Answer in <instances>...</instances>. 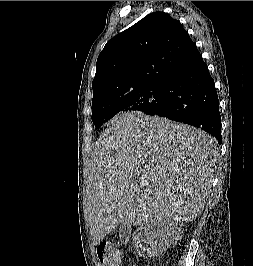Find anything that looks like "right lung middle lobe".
I'll list each match as a JSON object with an SVG mask.
<instances>
[{
  "mask_svg": "<svg viewBox=\"0 0 253 266\" xmlns=\"http://www.w3.org/2000/svg\"><path fill=\"white\" fill-rule=\"evenodd\" d=\"M165 81L148 83L131 91L115 95L97 104H93L92 121L99 128L122 111L137 110L146 114L158 111L163 104Z\"/></svg>",
  "mask_w": 253,
  "mask_h": 266,
  "instance_id": "dd1d6c3e",
  "label": "right lung middle lobe"
}]
</instances>
